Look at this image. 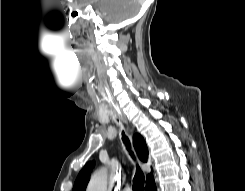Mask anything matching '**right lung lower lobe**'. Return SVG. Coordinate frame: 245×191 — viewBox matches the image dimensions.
Listing matches in <instances>:
<instances>
[{
    "mask_svg": "<svg viewBox=\"0 0 245 191\" xmlns=\"http://www.w3.org/2000/svg\"><path fill=\"white\" fill-rule=\"evenodd\" d=\"M146 191H157L156 184L153 178L146 182Z\"/></svg>",
    "mask_w": 245,
    "mask_h": 191,
    "instance_id": "98d812e1",
    "label": "right lung lower lobe"
}]
</instances>
